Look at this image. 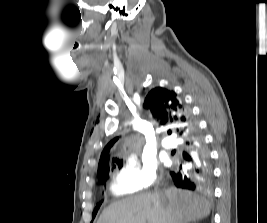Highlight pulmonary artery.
Segmentation results:
<instances>
[{
    "label": "pulmonary artery",
    "instance_id": "pulmonary-artery-1",
    "mask_svg": "<svg viewBox=\"0 0 267 223\" xmlns=\"http://www.w3.org/2000/svg\"><path fill=\"white\" fill-rule=\"evenodd\" d=\"M161 145L165 149H171V148L175 147V143L171 139H168V138H164L161 141Z\"/></svg>",
    "mask_w": 267,
    "mask_h": 223
}]
</instances>
